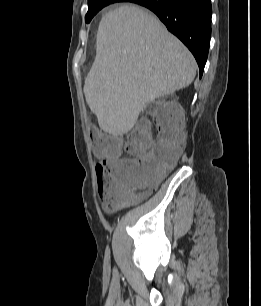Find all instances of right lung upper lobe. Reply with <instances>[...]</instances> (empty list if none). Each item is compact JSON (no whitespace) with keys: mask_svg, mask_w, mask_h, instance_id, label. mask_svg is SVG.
<instances>
[{"mask_svg":"<svg viewBox=\"0 0 261 306\" xmlns=\"http://www.w3.org/2000/svg\"><path fill=\"white\" fill-rule=\"evenodd\" d=\"M91 1H120V2H130L132 0H88V2H91Z\"/></svg>","mask_w":261,"mask_h":306,"instance_id":"right-lung-upper-lobe-1","label":"right lung upper lobe"}]
</instances>
